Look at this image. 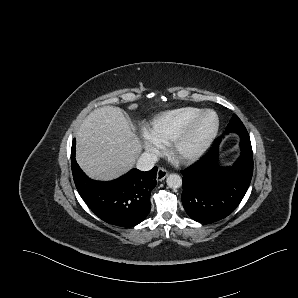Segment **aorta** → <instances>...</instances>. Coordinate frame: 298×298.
Wrapping results in <instances>:
<instances>
[{
  "label": "aorta",
  "mask_w": 298,
  "mask_h": 298,
  "mask_svg": "<svg viewBox=\"0 0 298 298\" xmlns=\"http://www.w3.org/2000/svg\"><path fill=\"white\" fill-rule=\"evenodd\" d=\"M166 184L172 189L179 188L182 186V177L178 173H169L166 177Z\"/></svg>",
  "instance_id": "obj_1"
}]
</instances>
